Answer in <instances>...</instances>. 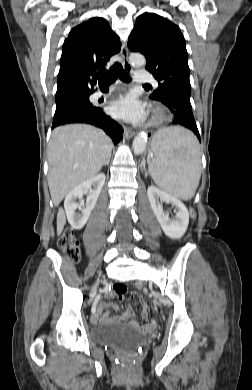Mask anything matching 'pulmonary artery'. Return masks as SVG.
I'll use <instances>...</instances> for the list:
<instances>
[{
	"label": "pulmonary artery",
	"instance_id": "1",
	"mask_svg": "<svg viewBox=\"0 0 252 390\" xmlns=\"http://www.w3.org/2000/svg\"><path fill=\"white\" fill-rule=\"evenodd\" d=\"M134 80L136 82H150L153 81L156 85V82L154 81L153 77L146 71H136L134 72ZM112 90V88H111ZM104 94L102 92H96L94 94V99H98L102 97Z\"/></svg>",
	"mask_w": 252,
	"mask_h": 390
}]
</instances>
